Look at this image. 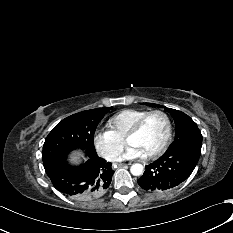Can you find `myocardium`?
<instances>
[{"label": "myocardium", "instance_id": "myocardium-1", "mask_svg": "<svg viewBox=\"0 0 233 233\" xmlns=\"http://www.w3.org/2000/svg\"><path fill=\"white\" fill-rule=\"evenodd\" d=\"M153 114H160L165 118L166 124H167V132H166L165 138H164L163 142L160 144V146L158 148H156L154 151H152L151 153H149L147 155H144L146 158H154L157 155H159L160 153H162L164 151V149L167 147V145H168V143H169V141L171 139L172 122H171V118L168 115V113H166L163 110H159V109L146 112L143 116H141L135 122V124L128 130V132L126 133V135L124 137L125 143L128 144L129 138L134 136L135 134H137L141 130L144 122L146 121V119L148 117H150L151 115H153Z\"/></svg>", "mask_w": 233, "mask_h": 233}]
</instances>
